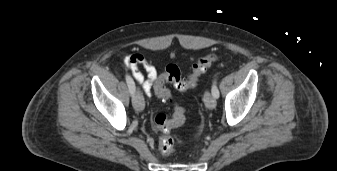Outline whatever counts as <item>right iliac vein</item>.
<instances>
[{"mask_svg":"<svg viewBox=\"0 0 337 171\" xmlns=\"http://www.w3.org/2000/svg\"><path fill=\"white\" fill-rule=\"evenodd\" d=\"M132 104L134 109L137 111H143L145 108L144 98L139 89L136 90L135 94L132 97Z\"/></svg>","mask_w":337,"mask_h":171,"instance_id":"obj_1","label":"right iliac vein"}]
</instances>
